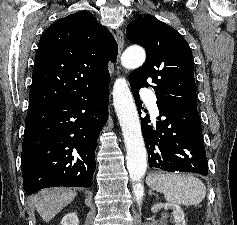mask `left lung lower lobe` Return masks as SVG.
<instances>
[{"label": "left lung lower lobe", "mask_w": 237, "mask_h": 225, "mask_svg": "<svg viewBox=\"0 0 237 225\" xmlns=\"http://www.w3.org/2000/svg\"><path fill=\"white\" fill-rule=\"evenodd\" d=\"M131 88L141 115L143 108L139 89L132 86ZM157 106L160 116L156 128L148 125L149 116L141 118L149 167L171 172H195L208 175L197 103L165 104L157 101Z\"/></svg>", "instance_id": "obj_1"}]
</instances>
